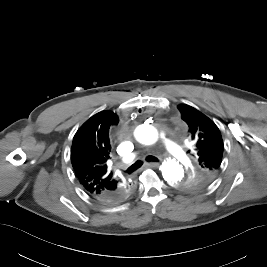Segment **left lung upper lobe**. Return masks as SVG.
<instances>
[{"label": "left lung upper lobe", "mask_w": 267, "mask_h": 267, "mask_svg": "<svg viewBox=\"0 0 267 267\" xmlns=\"http://www.w3.org/2000/svg\"><path fill=\"white\" fill-rule=\"evenodd\" d=\"M188 133L194 142L197 164L190 171L181 187L187 191L210 185L219 173L223 156V140L216 124L197 109L181 104L178 106Z\"/></svg>", "instance_id": "5c2ea615"}]
</instances>
